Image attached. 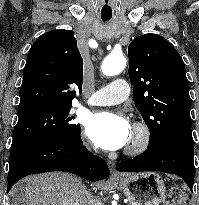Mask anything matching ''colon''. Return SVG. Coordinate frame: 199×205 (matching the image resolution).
Returning a JSON list of instances; mask_svg holds the SVG:
<instances>
[{
	"mask_svg": "<svg viewBox=\"0 0 199 205\" xmlns=\"http://www.w3.org/2000/svg\"><path fill=\"white\" fill-rule=\"evenodd\" d=\"M184 199V192L178 187L171 189L169 194L165 197L164 205H182Z\"/></svg>",
	"mask_w": 199,
	"mask_h": 205,
	"instance_id": "5ec220e1",
	"label": "colon"
}]
</instances>
